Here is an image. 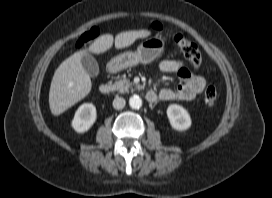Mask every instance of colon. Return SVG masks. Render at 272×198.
Here are the masks:
<instances>
[{
    "label": "colon",
    "mask_w": 272,
    "mask_h": 198,
    "mask_svg": "<svg viewBox=\"0 0 272 198\" xmlns=\"http://www.w3.org/2000/svg\"><path fill=\"white\" fill-rule=\"evenodd\" d=\"M153 28L156 30H160V26L158 24H154ZM99 34V31L97 28H91L87 32H85L83 35L80 36L78 39L76 46L78 48L84 47L87 43L94 40ZM174 42L181 51V53L187 58L191 65L194 68H199L201 65V53L196 43L193 41L187 39L183 35H176L174 37ZM217 100V91L213 86H208L204 90L203 93V101L205 105L207 106H213L215 105Z\"/></svg>",
    "instance_id": "5ec220e1"
}]
</instances>
